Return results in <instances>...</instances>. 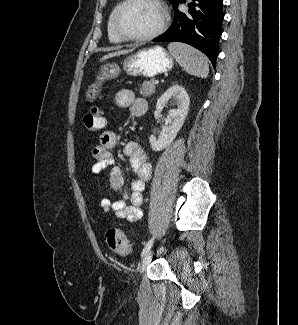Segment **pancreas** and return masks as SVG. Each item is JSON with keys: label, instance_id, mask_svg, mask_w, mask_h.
<instances>
[{"label": "pancreas", "instance_id": "obj_1", "mask_svg": "<svg viewBox=\"0 0 298 325\" xmlns=\"http://www.w3.org/2000/svg\"><path fill=\"white\" fill-rule=\"evenodd\" d=\"M155 88L156 84L154 80H144V82H141V84H139V88H135V90H138L141 96H150V94H153V92H155Z\"/></svg>", "mask_w": 298, "mask_h": 325}]
</instances>
